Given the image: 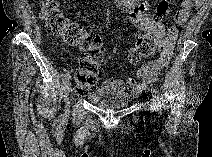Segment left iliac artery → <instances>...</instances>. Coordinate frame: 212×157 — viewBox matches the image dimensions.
Segmentation results:
<instances>
[{"label": "left iliac artery", "instance_id": "44dca946", "mask_svg": "<svg viewBox=\"0 0 212 157\" xmlns=\"http://www.w3.org/2000/svg\"><path fill=\"white\" fill-rule=\"evenodd\" d=\"M151 92H152V95L154 97L156 108L160 109L161 108V100H160V97H159L157 91L155 89H153Z\"/></svg>", "mask_w": 212, "mask_h": 157}]
</instances>
